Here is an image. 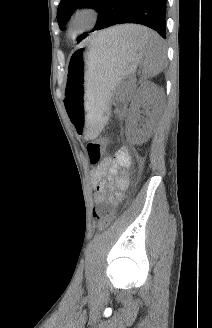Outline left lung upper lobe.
<instances>
[{"mask_svg":"<svg viewBox=\"0 0 212 328\" xmlns=\"http://www.w3.org/2000/svg\"><path fill=\"white\" fill-rule=\"evenodd\" d=\"M105 2L106 0H61L57 10V21L60 28H64L66 21L70 18V15L77 7L95 8L99 12L97 26L103 14ZM85 37L86 35L79 36L77 39L78 42H81Z\"/></svg>","mask_w":212,"mask_h":328,"instance_id":"left-lung-upper-lobe-1","label":"left lung upper lobe"}]
</instances>
